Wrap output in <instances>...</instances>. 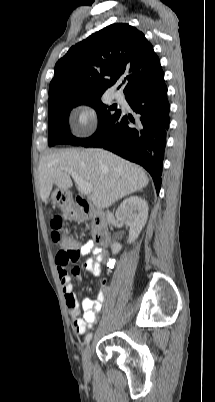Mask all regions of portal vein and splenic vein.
Listing matches in <instances>:
<instances>
[{
  "label": "portal vein and splenic vein",
  "instance_id": "obj_1",
  "mask_svg": "<svg viewBox=\"0 0 215 402\" xmlns=\"http://www.w3.org/2000/svg\"><path fill=\"white\" fill-rule=\"evenodd\" d=\"M63 170L72 176L75 183L80 188L81 192L85 195H89L92 192V185L84 181L81 177H79L73 170L69 168H63Z\"/></svg>",
  "mask_w": 215,
  "mask_h": 402
}]
</instances>
